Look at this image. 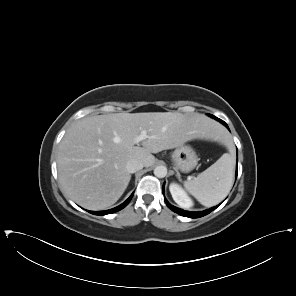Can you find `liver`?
<instances>
[{
	"mask_svg": "<svg viewBox=\"0 0 296 296\" xmlns=\"http://www.w3.org/2000/svg\"><path fill=\"white\" fill-rule=\"evenodd\" d=\"M145 130L142 147L134 139ZM218 137L216 123L199 113H115L82 118L66 132L57 158L61 190L88 210H101L118 201L131 175L126 165L137 159L144 167L152 153L177 148L193 139Z\"/></svg>",
	"mask_w": 296,
	"mask_h": 296,
	"instance_id": "obj_1",
	"label": "liver"
}]
</instances>
